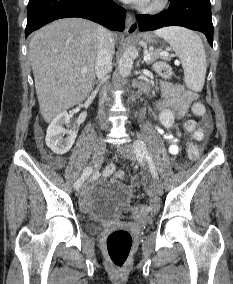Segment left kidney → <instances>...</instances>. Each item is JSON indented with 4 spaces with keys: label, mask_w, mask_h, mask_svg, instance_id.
I'll use <instances>...</instances> for the list:
<instances>
[{
    "label": "left kidney",
    "mask_w": 233,
    "mask_h": 284,
    "mask_svg": "<svg viewBox=\"0 0 233 284\" xmlns=\"http://www.w3.org/2000/svg\"><path fill=\"white\" fill-rule=\"evenodd\" d=\"M159 120L165 128L169 129L173 126L175 117L171 110L166 109L160 113Z\"/></svg>",
    "instance_id": "obj_1"
}]
</instances>
